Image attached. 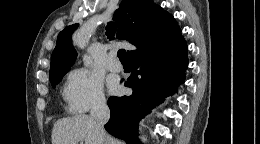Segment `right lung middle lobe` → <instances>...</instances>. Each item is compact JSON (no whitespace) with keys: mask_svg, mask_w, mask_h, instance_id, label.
<instances>
[{"mask_svg":"<svg viewBox=\"0 0 260 144\" xmlns=\"http://www.w3.org/2000/svg\"><path fill=\"white\" fill-rule=\"evenodd\" d=\"M69 69L62 70L50 75V82L53 87L61 80V78L68 72Z\"/></svg>","mask_w":260,"mask_h":144,"instance_id":"right-lung-middle-lobe-1","label":"right lung middle lobe"}]
</instances>
